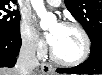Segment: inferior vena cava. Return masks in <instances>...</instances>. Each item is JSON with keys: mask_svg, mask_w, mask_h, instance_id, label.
<instances>
[{"mask_svg": "<svg viewBox=\"0 0 102 75\" xmlns=\"http://www.w3.org/2000/svg\"><path fill=\"white\" fill-rule=\"evenodd\" d=\"M39 65L36 58V43L32 39H27L22 43L16 69L20 75H33L35 68Z\"/></svg>", "mask_w": 102, "mask_h": 75, "instance_id": "602c4592", "label": "inferior vena cava"}]
</instances>
